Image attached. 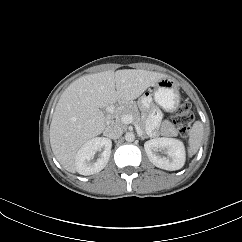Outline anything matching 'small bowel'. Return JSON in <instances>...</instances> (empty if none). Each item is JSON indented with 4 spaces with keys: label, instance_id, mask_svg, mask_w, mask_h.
<instances>
[{
    "label": "small bowel",
    "instance_id": "obj_1",
    "mask_svg": "<svg viewBox=\"0 0 242 242\" xmlns=\"http://www.w3.org/2000/svg\"><path fill=\"white\" fill-rule=\"evenodd\" d=\"M160 122V114L157 111L150 113L148 118V127L150 130H154Z\"/></svg>",
    "mask_w": 242,
    "mask_h": 242
}]
</instances>
